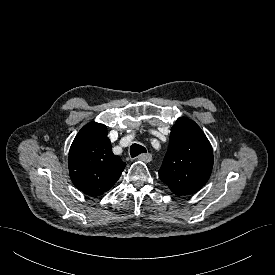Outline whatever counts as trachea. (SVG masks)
<instances>
[{
	"instance_id": "trachea-1",
	"label": "trachea",
	"mask_w": 275,
	"mask_h": 275,
	"mask_svg": "<svg viewBox=\"0 0 275 275\" xmlns=\"http://www.w3.org/2000/svg\"><path fill=\"white\" fill-rule=\"evenodd\" d=\"M146 152H147L146 148L139 144H132L130 147V155L132 158Z\"/></svg>"
}]
</instances>
